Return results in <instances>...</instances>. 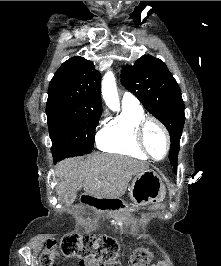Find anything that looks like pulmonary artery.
Masks as SVG:
<instances>
[{"instance_id": "1", "label": "pulmonary artery", "mask_w": 221, "mask_h": 266, "mask_svg": "<svg viewBox=\"0 0 221 266\" xmlns=\"http://www.w3.org/2000/svg\"><path fill=\"white\" fill-rule=\"evenodd\" d=\"M123 106L138 107L139 100L131 93L125 92L122 97Z\"/></svg>"}]
</instances>
